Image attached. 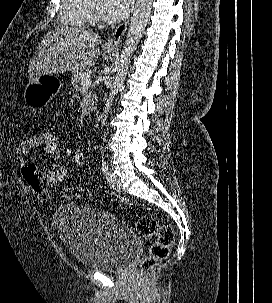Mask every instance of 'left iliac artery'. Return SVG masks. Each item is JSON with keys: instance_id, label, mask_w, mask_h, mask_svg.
<instances>
[{"instance_id": "left-iliac-artery-1", "label": "left iliac artery", "mask_w": 272, "mask_h": 303, "mask_svg": "<svg viewBox=\"0 0 272 303\" xmlns=\"http://www.w3.org/2000/svg\"><path fill=\"white\" fill-rule=\"evenodd\" d=\"M101 150H102V172L106 176L108 174V171H109V166H108V163L106 162L105 157H104L103 147H101Z\"/></svg>"}]
</instances>
